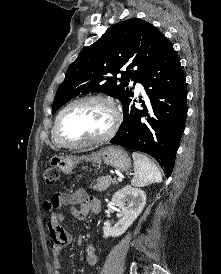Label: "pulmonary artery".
Instances as JSON below:
<instances>
[{"instance_id":"obj_1","label":"pulmonary artery","mask_w":221,"mask_h":274,"mask_svg":"<svg viewBox=\"0 0 221 274\" xmlns=\"http://www.w3.org/2000/svg\"><path fill=\"white\" fill-rule=\"evenodd\" d=\"M136 91L137 92L143 91V86L140 83H136Z\"/></svg>"}]
</instances>
